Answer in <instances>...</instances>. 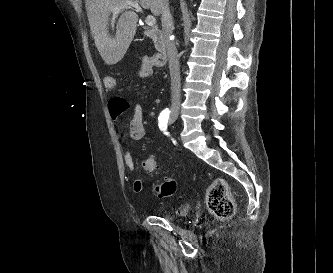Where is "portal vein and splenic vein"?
Masks as SVG:
<instances>
[{"instance_id": "obj_1", "label": "portal vein and splenic vein", "mask_w": 333, "mask_h": 273, "mask_svg": "<svg viewBox=\"0 0 333 273\" xmlns=\"http://www.w3.org/2000/svg\"><path fill=\"white\" fill-rule=\"evenodd\" d=\"M127 9V8H133L136 11H142V8L140 7V5L135 2V1H128L127 3L120 5L118 7H115L113 10L114 15L118 14L119 12H121L123 9ZM145 22L148 26H154L156 24V19L154 16L152 15H148L145 19Z\"/></svg>"}]
</instances>
